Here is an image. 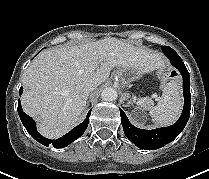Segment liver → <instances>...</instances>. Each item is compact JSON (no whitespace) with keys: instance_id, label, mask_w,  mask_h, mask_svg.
Instances as JSON below:
<instances>
[{"instance_id":"1","label":"liver","mask_w":209,"mask_h":179,"mask_svg":"<svg viewBox=\"0 0 209 179\" xmlns=\"http://www.w3.org/2000/svg\"><path fill=\"white\" fill-rule=\"evenodd\" d=\"M163 56L116 38L81 45L53 47L42 51L23 74L24 112L38 123L47 138H58L79 121L86 106L84 89L104 83L118 67L142 74L163 67Z\"/></svg>"}]
</instances>
